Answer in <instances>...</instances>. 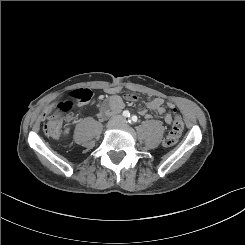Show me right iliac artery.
<instances>
[{"instance_id":"right-iliac-artery-1","label":"right iliac artery","mask_w":245,"mask_h":245,"mask_svg":"<svg viewBox=\"0 0 245 245\" xmlns=\"http://www.w3.org/2000/svg\"><path fill=\"white\" fill-rule=\"evenodd\" d=\"M123 116H124L125 118L130 117V112H129L128 110H125V111L123 112Z\"/></svg>"}]
</instances>
